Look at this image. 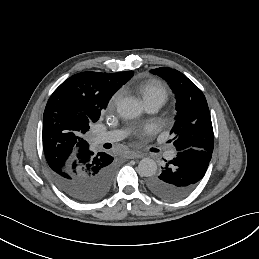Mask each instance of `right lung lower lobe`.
<instances>
[{
    "mask_svg": "<svg viewBox=\"0 0 259 259\" xmlns=\"http://www.w3.org/2000/svg\"><path fill=\"white\" fill-rule=\"evenodd\" d=\"M113 157L105 152L94 153L90 149L79 154L61 171L51 175L58 187L71 199L81 203L100 200L109 192L115 166Z\"/></svg>",
    "mask_w": 259,
    "mask_h": 259,
    "instance_id": "obj_1",
    "label": "right lung lower lobe"
}]
</instances>
